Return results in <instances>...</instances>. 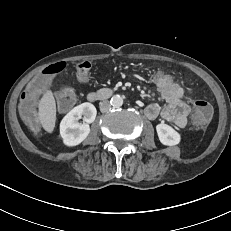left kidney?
<instances>
[{
  "instance_id": "obj_1",
  "label": "left kidney",
  "mask_w": 231,
  "mask_h": 231,
  "mask_svg": "<svg viewBox=\"0 0 231 231\" xmlns=\"http://www.w3.org/2000/svg\"><path fill=\"white\" fill-rule=\"evenodd\" d=\"M156 131L160 142L166 146H175L179 144L181 140L180 134L174 130L171 126L160 123L156 126Z\"/></svg>"
}]
</instances>
